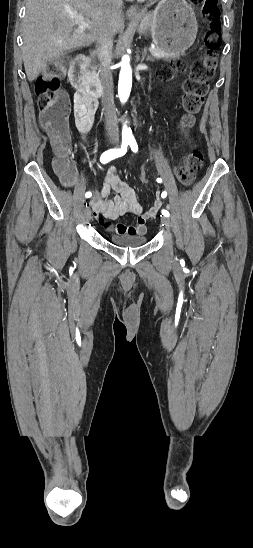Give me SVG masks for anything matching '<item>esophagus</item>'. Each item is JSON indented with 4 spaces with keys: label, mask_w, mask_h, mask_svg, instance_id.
<instances>
[{
    "label": "esophagus",
    "mask_w": 253,
    "mask_h": 548,
    "mask_svg": "<svg viewBox=\"0 0 253 548\" xmlns=\"http://www.w3.org/2000/svg\"><path fill=\"white\" fill-rule=\"evenodd\" d=\"M127 14L131 18H136L140 15L139 9L136 6H130L127 10Z\"/></svg>",
    "instance_id": "obj_1"
}]
</instances>
